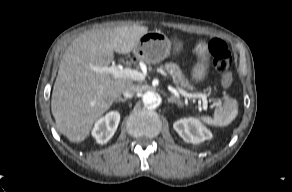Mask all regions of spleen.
Masks as SVG:
<instances>
[{"instance_id": "1", "label": "spleen", "mask_w": 292, "mask_h": 192, "mask_svg": "<svg viewBox=\"0 0 292 192\" xmlns=\"http://www.w3.org/2000/svg\"><path fill=\"white\" fill-rule=\"evenodd\" d=\"M238 114L237 101L228 99L225 106L215 111L214 117H203L202 120L208 125L227 126Z\"/></svg>"}]
</instances>
